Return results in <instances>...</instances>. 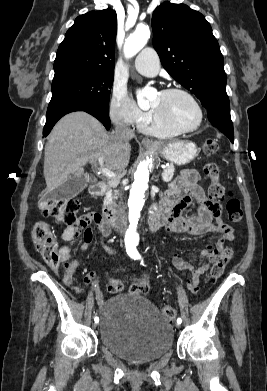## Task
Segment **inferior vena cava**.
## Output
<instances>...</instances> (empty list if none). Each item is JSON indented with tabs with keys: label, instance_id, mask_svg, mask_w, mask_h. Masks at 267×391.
<instances>
[{
	"label": "inferior vena cava",
	"instance_id": "inferior-vena-cava-1",
	"mask_svg": "<svg viewBox=\"0 0 267 391\" xmlns=\"http://www.w3.org/2000/svg\"><path fill=\"white\" fill-rule=\"evenodd\" d=\"M114 135L122 141H127L135 136L133 130L124 123H116ZM127 226V219L125 216V206L120 197L117 206L116 227L120 235H124Z\"/></svg>",
	"mask_w": 267,
	"mask_h": 391
}]
</instances>
